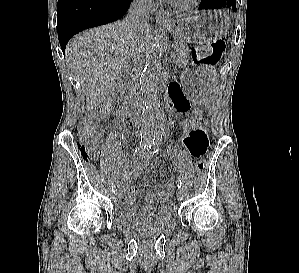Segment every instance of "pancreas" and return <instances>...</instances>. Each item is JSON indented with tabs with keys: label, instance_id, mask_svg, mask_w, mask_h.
<instances>
[{
	"label": "pancreas",
	"instance_id": "1",
	"mask_svg": "<svg viewBox=\"0 0 299 273\" xmlns=\"http://www.w3.org/2000/svg\"><path fill=\"white\" fill-rule=\"evenodd\" d=\"M189 57V48L187 44L179 43L175 46L174 63L177 66L183 67L187 65Z\"/></svg>",
	"mask_w": 299,
	"mask_h": 273
}]
</instances>
